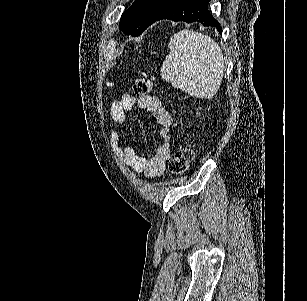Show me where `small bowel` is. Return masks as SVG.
Here are the masks:
<instances>
[{
	"mask_svg": "<svg viewBox=\"0 0 307 301\" xmlns=\"http://www.w3.org/2000/svg\"><path fill=\"white\" fill-rule=\"evenodd\" d=\"M135 106L146 109L156 116L159 145L155 153L151 156L136 153L130 144L121 142V136L116 130L110 132V145L114 154L124 165L135 172L144 173L149 178H155L164 173L166 162L170 158L172 117L155 96L144 95L136 98L130 94H123L111 105L112 119L119 125H125L127 112Z\"/></svg>",
	"mask_w": 307,
	"mask_h": 301,
	"instance_id": "small-bowel-1",
	"label": "small bowel"
}]
</instances>
